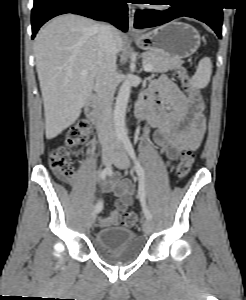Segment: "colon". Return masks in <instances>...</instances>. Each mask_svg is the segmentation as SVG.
Instances as JSON below:
<instances>
[{"instance_id":"5ec220e1","label":"colon","mask_w":246,"mask_h":300,"mask_svg":"<svg viewBox=\"0 0 246 300\" xmlns=\"http://www.w3.org/2000/svg\"><path fill=\"white\" fill-rule=\"evenodd\" d=\"M175 74L182 83V86L191 98V100L197 105L203 104L202 98L197 89L192 84L185 67H177ZM90 135V126L87 122H80L69 133L65 145L59 146L53 149L48 156V165L51 170L57 173L59 176L70 179L74 176L75 172L68 158L70 149H79L83 147L88 141ZM194 162V152L192 149H186L182 152L180 160L176 167V176L179 179L185 178L191 170ZM139 222L137 214L129 212L122 216V223L125 226H134Z\"/></svg>"}]
</instances>
